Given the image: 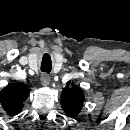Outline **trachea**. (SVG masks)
Here are the masks:
<instances>
[{
    "mask_svg": "<svg viewBox=\"0 0 130 130\" xmlns=\"http://www.w3.org/2000/svg\"><path fill=\"white\" fill-rule=\"evenodd\" d=\"M52 69V63L51 60H42L41 63V71L46 72V73H50Z\"/></svg>",
    "mask_w": 130,
    "mask_h": 130,
    "instance_id": "obj_1",
    "label": "trachea"
}]
</instances>
